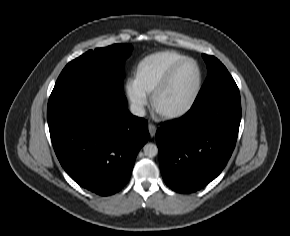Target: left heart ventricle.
Instances as JSON below:
<instances>
[{
    "mask_svg": "<svg viewBox=\"0 0 290 236\" xmlns=\"http://www.w3.org/2000/svg\"><path fill=\"white\" fill-rule=\"evenodd\" d=\"M197 83V69L191 62L180 66L168 87L161 93L157 106L162 110H176L191 98Z\"/></svg>",
    "mask_w": 290,
    "mask_h": 236,
    "instance_id": "obj_1",
    "label": "left heart ventricle"
}]
</instances>
